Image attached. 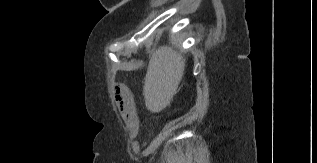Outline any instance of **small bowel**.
Returning a JSON list of instances; mask_svg holds the SVG:
<instances>
[{"instance_id": "1", "label": "small bowel", "mask_w": 317, "mask_h": 163, "mask_svg": "<svg viewBox=\"0 0 317 163\" xmlns=\"http://www.w3.org/2000/svg\"><path fill=\"white\" fill-rule=\"evenodd\" d=\"M128 91V99L127 101H121V99L117 98V104H118V108L120 111L121 116L123 117V119L129 124V126L132 129H135L137 127L138 124V118H137V114H136V110H135V104L133 101V98Z\"/></svg>"}]
</instances>
